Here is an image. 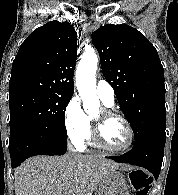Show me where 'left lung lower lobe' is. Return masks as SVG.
I'll return each mask as SVG.
<instances>
[{
	"mask_svg": "<svg viewBox=\"0 0 178 195\" xmlns=\"http://www.w3.org/2000/svg\"><path fill=\"white\" fill-rule=\"evenodd\" d=\"M165 141L166 138L153 139L133 147L132 150L121 156L109 158L119 163L142 166L148 169L154 175L155 179H157L163 161Z\"/></svg>",
	"mask_w": 178,
	"mask_h": 195,
	"instance_id": "0a47b994",
	"label": "left lung lower lobe"
}]
</instances>
